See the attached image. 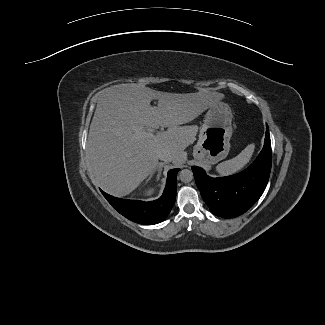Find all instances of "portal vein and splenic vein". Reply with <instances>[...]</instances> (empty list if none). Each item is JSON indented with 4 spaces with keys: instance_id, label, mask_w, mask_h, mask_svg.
Here are the masks:
<instances>
[{
    "instance_id": "obj_1",
    "label": "portal vein and splenic vein",
    "mask_w": 325,
    "mask_h": 325,
    "mask_svg": "<svg viewBox=\"0 0 325 325\" xmlns=\"http://www.w3.org/2000/svg\"><path fill=\"white\" fill-rule=\"evenodd\" d=\"M135 136L139 138H152L154 137V131H144L143 127H137L135 130Z\"/></svg>"
}]
</instances>
